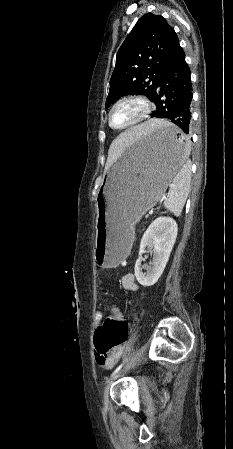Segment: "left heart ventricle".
Instances as JSON below:
<instances>
[{"label": "left heart ventricle", "mask_w": 233, "mask_h": 449, "mask_svg": "<svg viewBox=\"0 0 233 449\" xmlns=\"http://www.w3.org/2000/svg\"><path fill=\"white\" fill-rule=\"evenodd\" d=\"M143 112V106L137 101H127L118 105L112 113V124L122 127L135 121Z\"/></svg>", "instance_id": "obj_1"}]
</instances>
